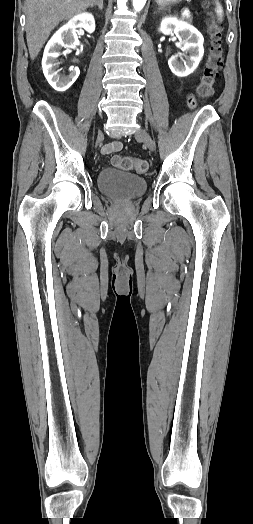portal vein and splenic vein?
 <instances>
[{
    "label": "portal vein and splenic vein",
    "instance_id": "obj_1",
    "mask_svg": "<svg viewBox=\"0 0 253 524\" xmlns=\"http://www.w3.org/2000/svg\"><path fill=\"white\" fill-rule=\"evenodd\" d=\"M189 14H190V11H189L188 8H185V9L182 11V13H181L182 17H186V16H188Z\"/></svg>",
    "mask_w": 253,
    "mask_h": 524
}]
</instances>
